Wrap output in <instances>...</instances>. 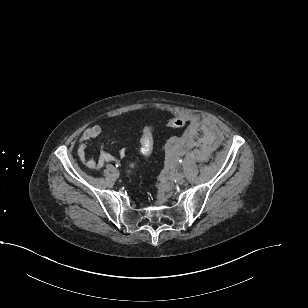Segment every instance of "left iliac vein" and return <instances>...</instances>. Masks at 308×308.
I'll return each mask as SVG.
<instances>
[{
	"label": "left iliac vein",
	"instance_id": "4c4485c4",
	"mask_svg": "<svg viewBox=\"0 0 308 308\" xmlns=\"http://www.w3.org/2000/svg\"><path fill=\"white\" fill-rule=\"evenodd\" d=\"M174 179L178 185H182L185 182L184 175L182 173H176Z\"/></svg>",
	"mask_w": 308,
	"mask_h": 308
}]
</instances>
